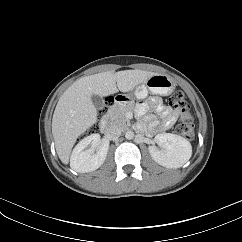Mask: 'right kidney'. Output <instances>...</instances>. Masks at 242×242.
<instances>
[{
    "mask_svg": "<svg viewBox=\"0 0 242 242\" xmlns=\"http://www.w3.org/2000/svg\"><path fill=\"white\" fill-rule=\"evenodd\" d=\"M89 145L90 149L85 150ZM94 149L97 150L94 153ZM109 143L101 141L99 134H91L82 139L73 149L70 157L71 168L79 173H88L98 169L105 161Z\"/></svg>",
    "mask_w": 242,
    "mask_h": 242,
    "instance_id": "ca27d5eb",
    "label": "right kidney"
}]
</instances>
